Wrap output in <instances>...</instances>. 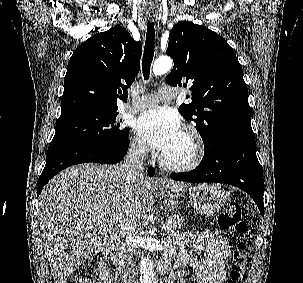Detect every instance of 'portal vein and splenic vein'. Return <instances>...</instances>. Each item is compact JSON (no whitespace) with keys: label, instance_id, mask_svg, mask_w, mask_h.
Segmentation results:
<instances>
[{"label":"portal vein and splenic vein","instance_id":"18ae733b","mask_svg":"<svg viewBox=\"0 0 303 283\" xmlns=\"http://www.w3.org/2000/svg\"><path fill=\"white\" fill-rule=\"evenodd\" d=\"M99 222L102 223V221H99ZM171 223H172V220H169V221H168V224L164 225L162 229H163L164 231H168V229H169V226H168V225L171 224Z\"/></svg>","mask_w":303,"mask_h":283}]
</instances>
